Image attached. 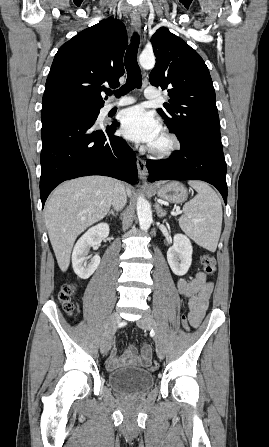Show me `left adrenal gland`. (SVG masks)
Here are the masks:
<instances>
[{
  "label": "left adrenal gland",
  "mask_w": 269,
  "mask_h": 447,
  "mask_svg": "<svg viewBox=\"0 0 269 447\" xmlns=\"http://www.w3.org/2000/svg\"><path fill=\"white\" fill-rule=\"evenodd\" d=\"M155 210L157 212L158 218H163V216H166L165 210H162L161 206H159L158 202L155 200Z\"/></svg>",
  "instance_id": "left-adrenal-gland-1"
}]
</instances>
